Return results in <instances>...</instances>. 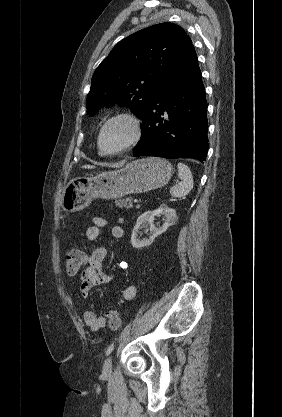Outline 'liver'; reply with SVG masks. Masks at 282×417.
<instances>
[{
  "label": "liver",
  "mask_w": 282,
  "mask_h": 417,
  "mask_svg": "<svg viewBox=\"0 0 282 417\" xmlns=\"http://www.w3.org/2000/svg\"><path fill=\"white\" fill-rule=\"evenodd\" d=\"M82 168H95L93 164H83Z\"/></svg>",
  "instance_id": "1"
}]
</instances>
